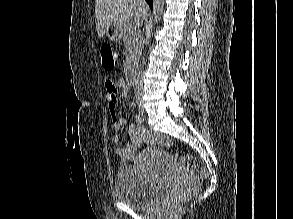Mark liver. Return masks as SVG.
<instances>
[{
    "label": "liver",
    "instance_id": "6515ba94",
    "mask_svg": "<svg viewBox=\"0 0 293 219\" xmlns=\"http://www.w3.org/2000/svg\"><path fill=\"white\" fill-rule=\"evenodd\" d=\"M147 10L145 0H96L95 17L98 37H103L106 29L112 24L127 27L133 16L136 27L142 26Z\"/></svg>",
    "mask_w": 293,
    "mask_h": 219
}]
</instances>
